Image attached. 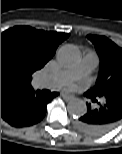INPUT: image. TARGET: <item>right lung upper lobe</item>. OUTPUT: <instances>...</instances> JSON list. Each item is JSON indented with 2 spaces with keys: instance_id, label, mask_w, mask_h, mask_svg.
Wrapping results in <instances>:
<instances>
[{
  "instance_id": "obj_1",
  "label": "right lung upper lobe",
  "mask_w": 122,
  "mask_h": 154,
  "mask_svg": "<svg viewBox=\"0 0 122 154\" xmlns=\"http://www.w3.org/2000/svg\"><path fill=\"white\" fill-rule=\"evenodd\" d=\"M69 34L15 26L1 33V105L33 89L32 74L55 54Z\"/></svg>"
}]
</instances>
